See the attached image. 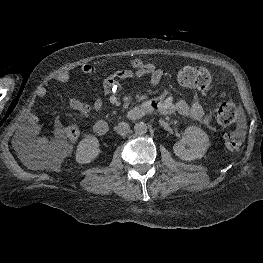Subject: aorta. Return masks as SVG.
I'll return each mask as SVG.
<instances>
[{"instance_id":"obj_1","label":"aorta","mask_w":263,"mask_h":263,"mask_svg":"<svg viewBox=\"0 0 263 263\" xmlns=\"http://www.w3.org/2000/svg\"><path fill=\"white\" fill-rule=\"evenodd\" d=\"M147 124L144 122H138L134 125V131L137 135H144L147 132Z\"/></svg>"}]
</instances>
